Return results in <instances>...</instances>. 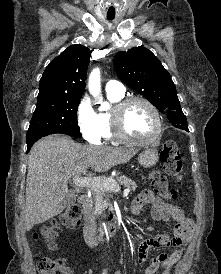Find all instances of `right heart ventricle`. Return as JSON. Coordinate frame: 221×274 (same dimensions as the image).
<instances>
[{
	"instance_id": "right-heart-ventricle-1",
	"label": "right heart ventricle",
	"mask_w": 221,
	"mask_h": 274,
	"mask_svg": "<svg viewBox=\"0 0 221 274\" xmlns=\"http://www.w3.org/2000/svg\"><path fill=\"white\" fill-rule=\"evenodd\" d=\"M107 97H108L109 101L115 105L116 103H118L119 101H121L123 99L124 94L119 95V94L107 92ZM110 112L111 111H103V112L98 113V116H99V119L101 122V126H102V138H104L106 140L114 139L112 127H111Z\"/></svg>"
}]
</instances>
